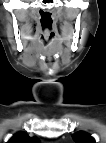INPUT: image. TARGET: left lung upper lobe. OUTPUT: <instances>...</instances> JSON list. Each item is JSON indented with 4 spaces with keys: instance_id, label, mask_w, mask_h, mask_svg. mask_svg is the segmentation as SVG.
Listing matches in <instances>:
<instances>
[{
    "instance_id": "5c2ea615",
    "label": "left lung upper lobe",
    "mask_w": 106,
    "mask_h": 143,
    "mask_svg": "<svg viewBox=\"0 0 106 143\" xmlns=\"http://www.w3.org/2000/svg\"><path fill=\"white\" fill-rule=\"evenodd\" d=\"M76 143H96L95 139L85 132H77L72 135Z\"/></svg>"
}]
</instances>
